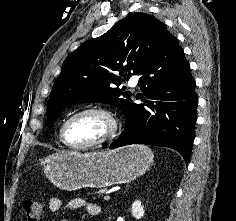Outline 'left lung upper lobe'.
<instances>
[{
    "mask_svg": "<svg viewBox=\"0 0 236 221\" xmlns=\"http://www.w3.org/2000/svg\"><path fill=\"white\" fill-rule=\"evenodd\" d=\"M167 29L146 13L129 15L98 38L84 42L65 59L48 101V126L72 104H114L123 114L130 92L118 86L141 70L159 48ZM119 72V73H118Z\"/></svg>",
    "mask_w": 236,
    "mask_h": 221,
    "instance_id": "obj_1",
    "label": "left lung upper lobe"
}]
</instances>
